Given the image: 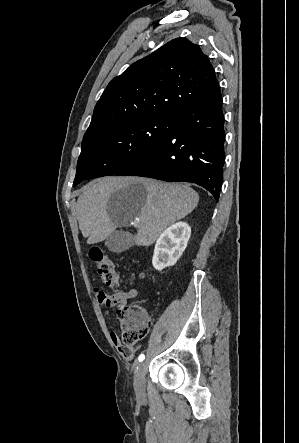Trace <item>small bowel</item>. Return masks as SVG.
<instances>
[{"label":"small bowel","mask_w":299,"mask_h":443,"mask_svg":"<svg viewBox=\"0 0 299 443\" xmlns=\"http://www.w3.org/2000/svg\"><path fill=\"white\" fill-rule=\"evenodd\" d=\"M95 295L98 303L105 308V315L108 316L115 307L124 305L129 299L135 298L138 295V291L137 289L132 288L126 291H117L109 295L103 290L97 289ZM109 335L111 340L115 344H118L119 340L116 331L111 329Z\"/></svg>","instance_id":"obj_1"}]
</instances>
